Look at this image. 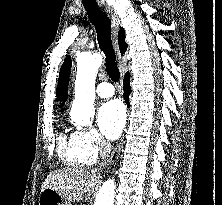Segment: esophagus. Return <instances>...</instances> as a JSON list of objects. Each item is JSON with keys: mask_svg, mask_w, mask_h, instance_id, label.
Wrapping results in <instances>:
<instances>
[{"mask_svg": "<svg viewBox=\"0 0 222 205\" xmlns=\"http://www.w3.org/2000/svg\"><path fill=\"white\" fill-rule=\"evenodd\" d=\"M104 10L111 20L114 47H115V50L118 52L117 32H118V27H119V20L117 19L116 14L113 12L111 7L106 6L104 7ZM118 55H119V52H118ZM120 149H121V144H119L115 148V150L112 152L111 157L108 160L109 163H113L118 158Z\"/></svg>", "mask_w": 222, "mask_h": 205, "instance_id": "esophagus-1", "label": "esophagus"}]
</instances>
